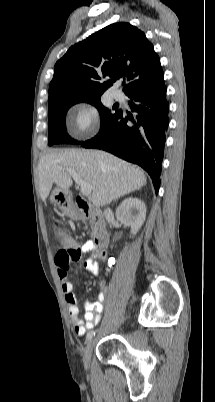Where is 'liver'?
Masks as SVG:
<instances>
[{"label":"liver","mask_w":215,"mask_h":402,"mask_svg":"<svg viewBox=\"0 0 215 402\" xmlns=\"http://www.w3.org/2000/svg\"><path fill=\"white\" fill-rule=\"evenodd\" d=\"M66 168L74 170L92 186L90 199L102 207L146 184L143 171L118 157L100 150H64L43 155L38 166L39 192L46 201L53 183L68 190L72 184Z\"/></svg>","instance_id":"liver-1"}]
</instances>
